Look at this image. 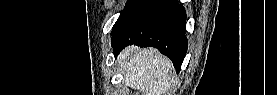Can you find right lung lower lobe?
<instances>
[{
  "label": "right lung lower lobe",
  "instance_id": "98d812e1",
  "mask_svg": "<svg viewBox=\"0 0 277 95\" xmlns=\"http://www.w3.org/2000/svg\"><path fill=\"white\" fill-rule=\"evenodd\" d=\"M185 23L186 11L178 0H147L112 34L114 55L131 44L153 46L179 72L188 48Z\"/></svg>",
  "mask_w": 277,
  "mask_h": 95
}]
</instances>
